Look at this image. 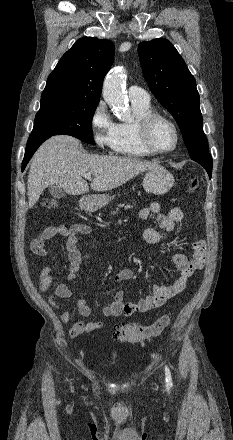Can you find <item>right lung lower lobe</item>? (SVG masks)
Here are the masks:
<instances>
[{"mask_svg":"<svg viewBox=\"0 0 233 440\" xmlns=\"http://www.w3.org/2000/svg\"><path fill=\"white\" fill-rule=\"evenodd\" d=\"M49 138V136L45 137H33L30 136L27 142V147L25 151L24 160L22 162V171L24 170L26 164L29 162L31 157L33 156L34 152L37 150V148Z\"/></svg>","mask_w":233,"mask_h":440,"instance_id":"98d812e1","label":"right lung lower lobe"}]
</instances>
